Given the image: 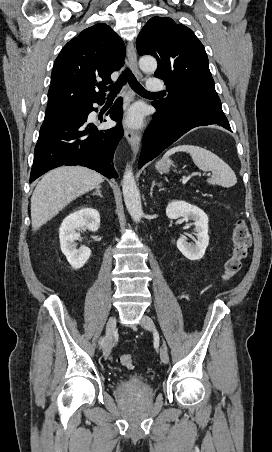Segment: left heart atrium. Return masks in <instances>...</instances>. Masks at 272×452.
I'll return each mask as SVG.
<instances>
[{
	"instance_id": "left-heart-atrium-1",
	"label": "left heart atrium",
	"mask_w": 272,
	"mask_h": 452,
	"mask_svg": "<svg viewBox=\"0 0 272 452\" xmlns=\"http://www.w3.org/2000/svg\"><path fill=\"white\" fill-rule=\"evenodd\" d=\"M142 121V113L140 111V109L138 108H133L129 111L127 118H126V123L129 126H139L141 124Z\"/></svg>"
}]
</instances>
